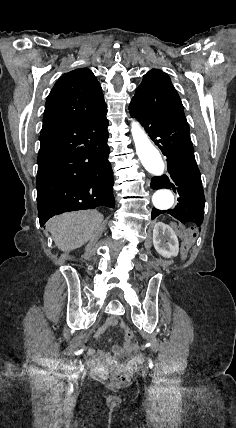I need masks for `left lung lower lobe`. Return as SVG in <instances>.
I'll return each mask as SVG.
<instances>
[{
    "instance_id": "1",
    "label": "left lung lower lobe",
    "mask_w": 236,
    "mask_h": 428,
    "mask_svg": "<svg viewBox=\"0 0 236 428\" xmlns=\"http://www.w3.org/2000/svg\"><path fill=\"white\" fill-rule=\"evenodd\" d=\"M154 143L167 157L168 173L153 177L151 188L171 189L179 194V203L174 209L161 211L152 209V219L161 213H168L181 221L192 222L200 228L203 222L205 197L194 149L186 121L155 116L129 107Z\"/></svg>"
}]
</instances>
